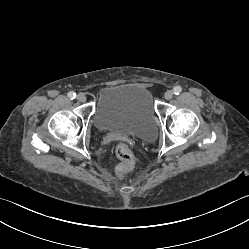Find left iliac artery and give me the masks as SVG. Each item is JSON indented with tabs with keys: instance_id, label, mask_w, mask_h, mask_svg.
<instances>
[{
	"instance_id": "left-iliac-artery-1",
	"label": "left iliac artery",
	"mask_w": 249,
	"mask_h": 249,
	"mask_svg": "<svg viewBox=\"0 0 249 249\" xmlns=\"http://www.w3.org/2000/svg\"><path fill=\"white\" fill-rule=\"evenodd\" d=\"M182 91V88L180 86H175L173 88V93L178 95Z\"/></svg>"
}]
</instances>
